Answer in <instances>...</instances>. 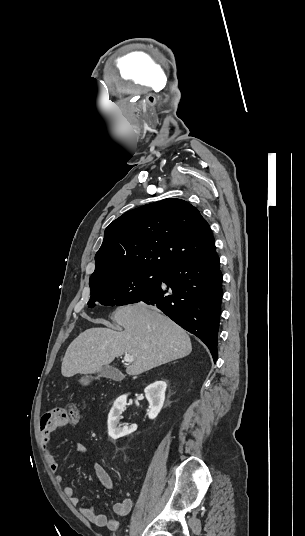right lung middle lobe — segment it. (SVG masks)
Wrapping results in <instances>:
<instances>
[{"label":"right lung middle lobe","instance_id":"dd1d6c3e","mask_svg":"<svg viewBox=\"0 0 305 536\" xmlns=\"http://www.w3.org/2000/svg\"><path fill=\"white\" fill-rule=\"evenodd\" d=\"M163 276L164 271L141 270L111 279L90 281L88 307H94L95 302L105 306L136 303L157 288Z\"/></svg>","mask_w":305,"mask_h":536}]
</instances>
